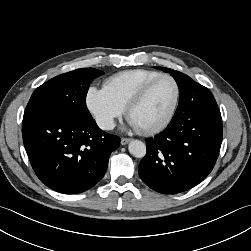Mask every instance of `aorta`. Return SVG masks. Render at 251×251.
I'll use <instances>...</instances> for the list:
<instances>
[{
    "label": "aorta",
    "instance_id": "aorta-1",
    "mask_svg": "<svg viewBox=\"0 0 251 251\" xmlns=\"http://www.w3.org/2000/svg\"><path fill=\"white\" fill-rule=\"evenodd\" d=\"M128 149L130 154L136 158H143L146 155V145L140 140H132Z\"/></svg>",
    "mask_w": 251,
    "mask_h": 251
}]
</instances>
